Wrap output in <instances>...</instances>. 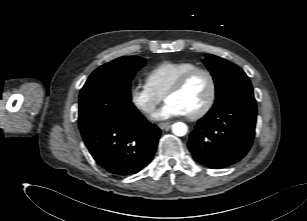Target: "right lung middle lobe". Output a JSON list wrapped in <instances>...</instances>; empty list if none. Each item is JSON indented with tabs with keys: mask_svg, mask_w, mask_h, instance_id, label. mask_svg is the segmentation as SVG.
I'll list each match as a JSON object with an SVG mask.
<instances>
[{
	"mask_svg": "<svg viewBox=\"0 0 307 221\" xmlns=\"http://www.w3.org/2000/svg\"><path fill=\"white\" fill-rule=\"evenodd\" d=\"M145 61L137 56L120 57L90 75L79 96L80 131L99 119L123 117L137 110L131 102L130 82Z\"/></svg>",
	"mask_w": 307,
	"mask_h": 221,
	"instance_id": "1",
	"label": "right lung middle lobe"
}]
</instances>
